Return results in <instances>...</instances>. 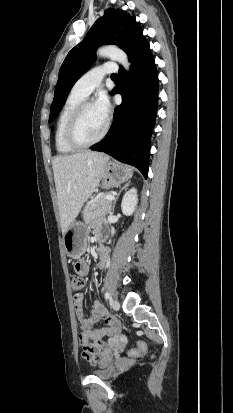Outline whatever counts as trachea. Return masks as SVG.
Listing matches in <instances>:
<instances>
[{
  "mask_svg": "<svg viewBox=\"0 0 233 413\" xmlns=\"http://www.w3.org/2000/svg\"><path fill=\"white\" fill-rule=\"evenodd\" d=\"M111 77L112 78L117 77V74H112Z\"/></svg>",
  "mask_w": 233,
  "mask_h": 413,
  "instance_id": "trachea-1",
  "label": "trachea"
}]
</instances>
